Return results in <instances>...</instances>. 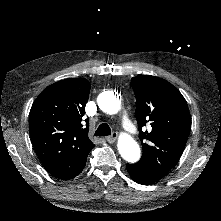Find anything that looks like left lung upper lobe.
<instances>
[{
  "label": "left lung upper lobe",
  "mask_w": 221,
  "mask_h": 221,
  "mask_svg": "<svg viewBox=\"0 0 221 221\" xmlns=\"http://www.w3.org/2000/svg\"><path fill=\"white\" fill-rule=\"evenodd\" d=\"M131 85L143 148L140 162L164 176L178 162L190 133L187 102L175 86L159 77L138 75L131 79ZM148 122L152 131L143 132L141 129Z\"/></svg>",
  "instance_id": "5c2ea615"
}]
</instances>
